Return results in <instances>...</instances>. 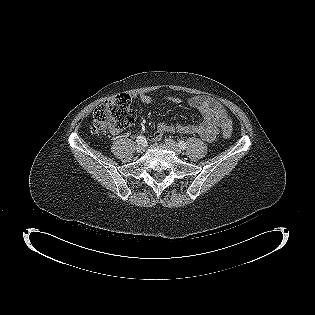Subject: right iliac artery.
Segmentation results:
<instances>
[{
  "mask_svg": "<svg viewBox=\"0 0 315 315\" xmlns=\"http://www.w3.org/2000/svg\"><path fill=\"white\" fill-rule=\"evenodd\" d=\"M136 141H137L138 144H142V143H144L145 138H144V136H141V135H140V136L137 137V140H136Z\"/></svg>",
  "mask_w": 315,
  "mask_h": 315,
  "instance_id": "1",
  "label": "right iliac artery"
}]
</instances>
